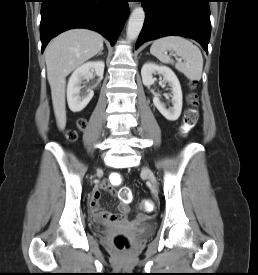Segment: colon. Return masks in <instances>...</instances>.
Segmentation results:
<instances>
[{"instance_id":"5ec220e1","label":"colon","mask_w":258,"mask_h":275,"mask_svg":"<svg viewBox=\"0 0 258 275\" xmlns=\"http://www.w3.org/2000/svg\"><path fill=\"white\" fill-rule=\"evenodd\" d=\"M190 88H193V84H190ZM187 103L189 105L188 109L185 111L184 114V121L182 126V133L186 134L192 129L198 119V112L197 107L199 104L198 96L190 92L187 95ZM86 124V121L84 119H78L76 122V129L70 130L67 133V138L69 140H75L77 137V133L79 130H82ZM122 176L120 174H113L111 177V184L113 185H120L122 183ZM119 197L121 200H124L126 202H129L131 200V191L128 188H121L119 192ZM153 208L152 201L148 198H144L140 202V210L142 212H149ZM114 245L116 248L120 250H127L130 247V240L127 236L119 234L114 237Z\"/></svg>"}]
</instances>
